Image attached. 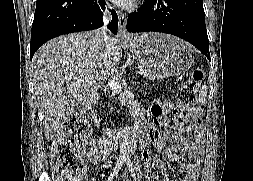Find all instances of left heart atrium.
I'll list each match as a JSON object with an SVG mask.
<instances>
[{"mask_svg": "<svg viewBox=\"0 0 253 181\" xmlns=\"http://www.w3.org/2000/svg\"><path fill=\"white\" fill-rule=\"evenodd\" d=\"M114 4L123 7L128 8L135 4L136 0H111Z\"/></svg>", "mask_w": 253, "mask_h": 181, "instance_id": "1", "label": "left heart atrium"}]
</instances>
